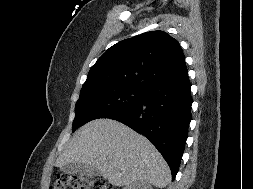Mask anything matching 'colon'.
I'll return each instance as SVG.
<instances>
[{
  "instance_id": "colon-1",
  "label": "colon",
  "mask_w": 253,
  "mask_h": 189,
  "mask_svg": "<svg viewBox=\"0 0 253 189\" xmlns=\"http://www.w3.org/2000/svg\"><path fill=\"white\" fill-rule=\"evenodd\" d=\"M50 189H114L100 178L76 174H61L51 184Z\"/></svg>"
}]
</instances>
